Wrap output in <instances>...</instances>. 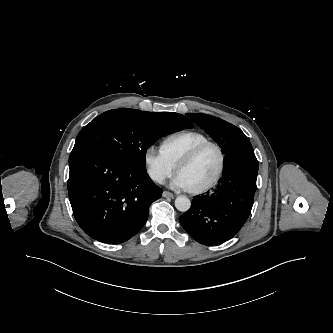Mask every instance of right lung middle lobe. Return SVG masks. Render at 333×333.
<instances>
[{
	"mask_svg": "<svg viewBox=\"0 0 333 333\" xmlns=\"http://www.w3.org/2000/svg\"><path fill=\"white\" fill-rule=\"evenodd\" d=\"M175 115L156 120L135 109L109 110L97 116L80 131L74 148L91 146L131 168L146 170V151L154 141L162 135L193 127Z\"/></svg>",
	"mask_w": 333,
	"mask_h": 333,
	"instance_id": "right-lung-middle-lobe-1",
	"label": "right lung middle lobe"
}]
</instances>
